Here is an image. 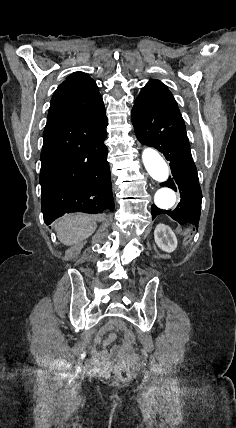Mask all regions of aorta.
Returning a JSON list of instances; mask_svg holds the SVG:
<instances>
[{"label":"aorta","instance_id":"762f6f07","mask_svg":"<svg viewBox=\"0 0 236 428\" xmlns=\"http://www.w3.org/2000/svg\"><path fill=\"white\" fill-rule=\"evenodd\" d=\"M143 164L149 175L159 183L168 179L169 167L161 155L152 148H145L142 153ZM176 202L175 192L167 187L160 188L155 196V205L162 210H169Z\"/></svg>","mask_w":236,"mask_h":428}]
</instances>
